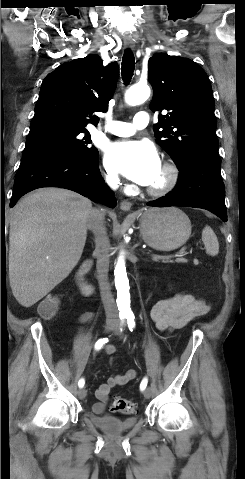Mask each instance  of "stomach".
Returning a JSON list of instances; mask_svg holds the SVG:
<instances>
[{
  "label": "stomach",
  "mask_w": 245,
  "mask_h": 479,
  "mask_svg": "<svg viewBox=\"0 0 245 479\" xmlns=\"http://www.w3.org/2000/svg\"><path fill=\"white\" fill-rule=\"evenodd\" d=\"M191 228L188 216L175 207L150 208L140 218L144 242L159 251H171L184 245Z\"/></svg>",
  "instance_id": "obj_1"
}]
</instances>
